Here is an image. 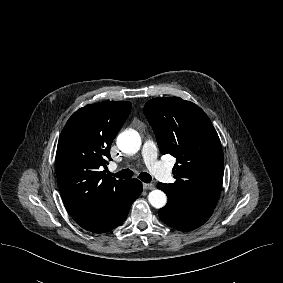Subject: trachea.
I'll list each match as a JSON object with an SVG mask.
<instances>
[{
	"mask_svg": "<svg viewBox=\"0 0 283 283\" xmlns=\"http://www.w3.org/2000/svg\"><path fill=\"white\" fill-rule=\"evenodd\" d=\"M114 176L122 178V179H130L133 176V172L129 169H125V170H122L114 174ZM139 178L145 183H150L152 180V177L150 176V174L145 173V172L140 173Z\"/></svg>",
	"mask_w": 283,
	"mask_h": 283,
	"instance_id": "1",
	"label": "trachea"
}]
</instances>
